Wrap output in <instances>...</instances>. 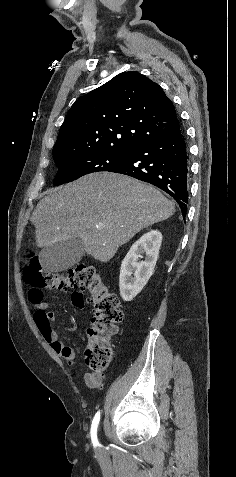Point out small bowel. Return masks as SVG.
I'll list each match as a JSON object with an SVG mask.
<instances>
[{
  "label": "small bowel",
  "instance_id": "obj_1",
  "mask_svg": "<svg viewBox=\"0 0 236 477\" xmlns=\"http://www.w3.org/2000/svg\"><path fill=\"white\" fill-rule=\"evenodd\" d=\"M72 301L79 309H84L86 306L84 298L80 294L73 295ZM32 303H34L36 307L33 320L43 339L51 346L53 351L60 354L69 365L73 364L77 358V352L72 347L64 345L59 339L57 331L53 328L56 316L55 313L50 310L49 304L42 300ZM84 381L89 386H96L102 382V375L99 373H87L84 375Z\"/></svg>",
  "mask_w": 236,
  "mask_h": 477
}]
</instances>
